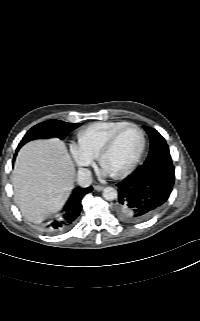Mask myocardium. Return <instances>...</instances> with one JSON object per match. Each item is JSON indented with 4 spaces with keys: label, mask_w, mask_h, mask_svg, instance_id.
<instances>
[{
    "label": "myocardium",
    "mask_w": 200,
    "mask_h": 321,
    "mask_svg": "<svg viewBox=\"0 0 200 321\" xmlns=\"http://www.w3.org/2000/svg\"><path fill=\"white\" fill-rule=\"evenodd\" d=\"M129 128H135L138 130L140 137H141V143H140V147L139 150L134 158V160L132 161V163L129 165V167L127 169H125L123 172L119 173V174H114L111 176L116 178V179H122L127 177L128 175H130L135 168L137 167V165L139 164L142 155L145 151V147H146V136H145V132L144 130L137 124L134 123H128L124 126H122L121 128H119L118 130H116L108 139L107 141L103 144V146L101 147V149L99 150L98 154H97V160L99 162L100 165H102V159L104 157V155L109 152L113 146L115 145L116 141L118 140V138L120 137V135L127 129Z\"/></svg>",
    "instance_id": "1"
}]
</instances>
